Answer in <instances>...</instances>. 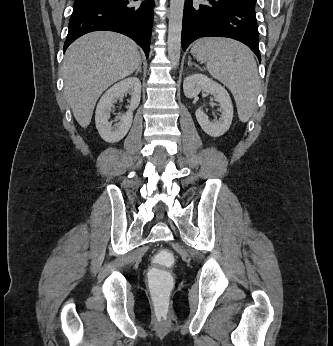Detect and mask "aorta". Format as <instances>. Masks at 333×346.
<instances>
[{
	"mask_svg": "<svg viewBox=\"0 0 333 346\" xmlns=\"http://www.w3.org/2000/svg\"><path fill=\"white\" fill-rule=\"evenodd\" d=\"M184 2L185 0H170L168 57L173 67H177L180 61Z\"/></svg>",
	"mask_w": 333,
	"mask_h": 346,
	"instance_id": "762f6f07",
	"label": "aorta"
}]
</instances>
